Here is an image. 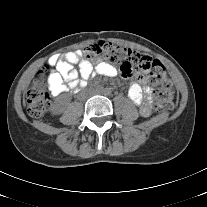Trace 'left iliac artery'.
Segmentation results:
<instances>
[{
    "instance_id": "left-iliac-artery-1",
    "label": "left iliac artery",
    "mask_w": 207,
    "mask_h": 207,
    "mask_svg": "<svg viewBox=\"0 0 207 207\" xmlns=\"http://www.w3.org/2000/svg\"><path fill=\"white\" fill-rule=\"evenodd\" d=\"M106 92H107V93H110L109 89H106Z\"/></svg>"
}]
</instances>
